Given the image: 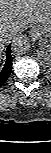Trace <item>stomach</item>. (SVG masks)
I'll use <instances>...</instances> for the list:
<instances>
[{
  "label": "stomach",
  "mask_w": 51,
  "mask_h": 153,
  "mask_svg": "<svg viewBox=\"0 0 51 153\" xmlns=\"http://www.w3.org/2000/svg\"><path fill=\"white\" fill-rule=\"evenodd\" d=\"M33 30L39 40L40 48L49 56L51 53V23L35 25Z\"/></svg>",
  "instance_id": "1"
}]
</instances>
